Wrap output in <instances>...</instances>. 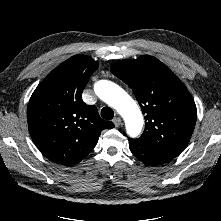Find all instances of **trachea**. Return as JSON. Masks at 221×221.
I'll list each match as a JSON object with an SVG mask.
<instances>
[{"label": "trachea", "mask_w": 221, "mask_h": 221, "mask_svg": "<svg viewBox=\"0 0 221 221\" xmlns=\"http://www.w3.org/2000/svg\"><path fill=\"white\" fill-rule=\"evenodd\" d=\"M102 118L111 120L114 117V111L110 107H104L101 110Z\"/></svg>", "instance_id": "trachea-1"}]
</instances>
